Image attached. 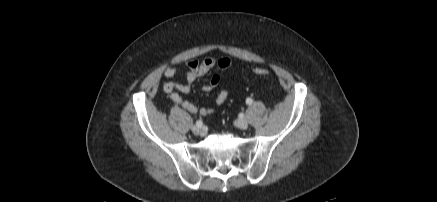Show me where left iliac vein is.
<instances>
[{"label": "left iliac vein", "mask_w": 437, "mask_h": 202, "mask_svg": "<svg viewBox=\"0 0 437 202\" xmlns=\"http://www.w3.org/2000/svg\"><path fill=\"white\" fill-rule=\"evenodd\" d=\"M235 126L238 127V128H240V129H247V127H248V122H247L246 119H244V118H240V119L236 120V122H235Z\"/></svg>", "instance_id": "4c4485c4"}]
</instances>
